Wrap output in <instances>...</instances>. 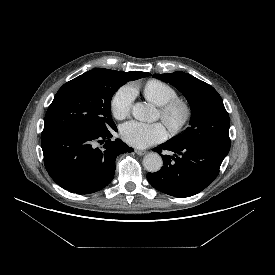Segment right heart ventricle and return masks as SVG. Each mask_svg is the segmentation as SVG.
Here are the masks:
<instances>
[{"label":"right heart ventricle","mask_w":275,"mask_h":275,"mask_svg":"<svg viewBox=\"0 0 275 275\" xmlns=\"http://www.w3.org/2000/svg\"><path fill=\"white\" fill-rule=\"evenodd\" d=\"M143 93L147 100L160 107L177 97L176 90L170 84L157 79L147 81Z\"/></svg>","instance_id":"1"}]
</instances>
